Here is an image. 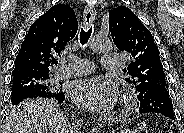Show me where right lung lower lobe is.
Returning <instances> with one entry per match:
<instances>
[{
	"instance_id": "obj_1",
	"label": "right lung lower lobe",
	"mask_w": 184,
	"mask_h": 133,
	"mask_svg": "<svg viewBox=\"0 0 184 133\" xmlns=\"http://www.w3.org/2000/svg\"><path fill=\"white\" fill-rule=\"evenodd\" d=\"M45 98H53V99L58 100L59 102H63L65 100V95H64V93L59 92V93L52 94L50 97H45ZM26 99H28V98L17 99L13 103L19 104L21 101H24Z\"/></svg>"
}]
</instances>
